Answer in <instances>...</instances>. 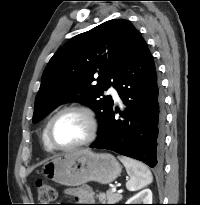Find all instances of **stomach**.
<instances>
[{"label": "stomach", "instance_id": "obj_1", "mask_svg": "<svg viewBox=\"0 0 200 205\" xmlns=\"http://www.w3.org/2000/svg\"><path fill=\"white\" fill-rule=\"evenodd\" d=\"M121 169V165L113 155L81 149L46 162L42 172L56 183L74 187L89 181L111 183L120 175Z\"/></svg>", "mask_w": 200, "mask_h": 205}]
</instances>
